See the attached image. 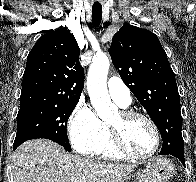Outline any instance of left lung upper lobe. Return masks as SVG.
Masks as SVG:
<instances>
[{"label":"left lung upper lobe","instance_id":"obj_1","mask_svg":"<svg viewBox=\"0 0 196 182\" xmlns=\"http://www.w3.org/2000/svg\"><path fill=\"white\" fill-rule=\"evenodd\" d=\"M109 53L123 82L132 91L161 133V154L184 153L180 98L174 72L157 36L124 24Z\"/></svg>","mask_w":196,"mask_h":182}]
</instances>
